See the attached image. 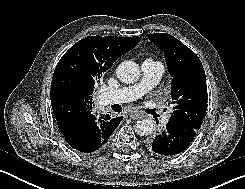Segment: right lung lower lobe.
Here are the masks:
<instances>
[{
  "label": "right lung lower lobe",
  "mask_w": 245,
  "mask_h": 189,
  "mask_svg": "<svg viewBox=\"0 0 245 189\" xmlns=\"http://www.w3.org/2000/svg\"><path fill=\"white\" fill-rule=\"evenodd\" d=\"M123 117L110 118L109 115L92 114L90 119L62 134L67 143L75 150L91 153L102 149Z\"/></svg>",
  "instance_id": "1"
}]
</instances>
